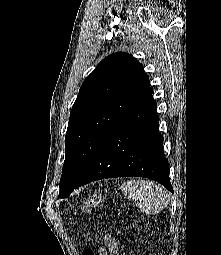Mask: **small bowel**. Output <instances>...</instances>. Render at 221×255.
Here are the masks:
<instances>
[{"mask_svg":"<svg viewBox=\"0 0 221 255\" xmlns=\"http://www.w3.org/2000/svg\"><path fill=\"white\" fill-rule=\"evenodd\" d=\"M106 249H100V255H118V245L116 240L111 235H106L104 238Z\"/></svg>","mask_w":221,"mask_h":255,"instance_id":"small-bowel-1","label":"small bowel"}]
</instances>
